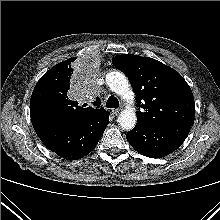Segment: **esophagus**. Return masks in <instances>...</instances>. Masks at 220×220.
Here are the masks:
<instances>
[{
    "label": "esophagus",
    "instance_id": "34e87169",
    "mask_svg": "<svg viewBox=\"0 0 220 220\" xmlns=\"http://www.w3.org/2000/svg\"><path fill=\"white\" fill-rule=\"evenodd\" d=\"M111 112H112V114H113L114 116H117V115H119L120 110H119V109H113Z\"/></svg>",
    "mask_w": 220,
    "mask_h": 220
}]
</instances>
